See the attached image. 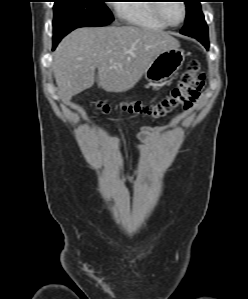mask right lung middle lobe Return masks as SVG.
I'll return each mask as SVG.
<instances>
[{"label":"right lung middle lobe","mask_w":248,"mask_h":299,"mask_svg":"<svg viewBox=\"0 0 248 299\" xmlns=\"http://www.w3.org/2000/svg\"><path fill=\"white\" fill-rule=\"evenodd\" d=\"M54 47L70 31L83 26H104L114 19L105 0H54Z\"/></svg>","instance_id":"1"}]
</instances>
